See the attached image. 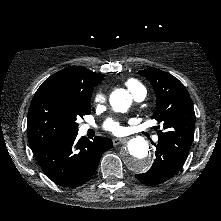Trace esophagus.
<instances>
[{
  "label": "esophagus",
  "instance_id": "obj_1",
  "mask_svg": "<svg viewBox=\"0 0 221 221\" xmlns=\"http://www.w3.org/2000/svg\"><path fill=\"white\" fill-rule=\"evenodd\" d=\"M127 139L126 138H121V139H113V145L118 146L120 144L126 143Z\"/></svg>",
  "mask_w": 221,
  "mask_h": 221
}]
</instances>
